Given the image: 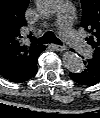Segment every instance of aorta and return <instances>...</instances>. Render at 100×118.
Returning a JSON list of instances; mask_svg holds the SVG:
<instances>
[{
    "label": "aorta",
    "instance_id": "obj_1",
    "mask_svg": "<svg viewBox=\"0 0 100 118\" xmlns=\"http://www.w3.org/2000/svg\"><path fill=\"white\" fill-rule=\"evenodd\" d=\"M60 5V0H37V9L45 15L54 14ZM64 66L73 73H80L84 69L82 59L75 53L66 51L62 56Z\"/></svg>",
    "mask_w": 100,
    "mask_h": 118
}]
</instances>
